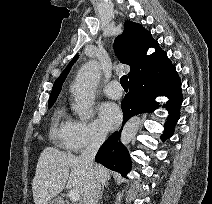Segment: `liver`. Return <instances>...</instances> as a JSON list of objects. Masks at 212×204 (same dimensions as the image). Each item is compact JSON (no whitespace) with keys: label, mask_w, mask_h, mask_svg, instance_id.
I'll list each match as a JSON object with an SVG mask.
<instances>
[{"label":"liver","mask_w":212,"mask_h":204,"mask_svg":"<svg viewBox=\"0 0 212 204\" xmlns=\"http://www.w3.org/2000/svg\"><path fill=\"white\" fill-rule=\"evenodd\" d=\"M61 169V172H57ZM96 175L102 185L107 186L110 172L102 165H95ZM88 168L80 156L54 147H46L38 159L32 191L35 204H47L66 187L77 190L83 198Z\"/></svg>","instance_id":"6515ba94"}]
</instances>
